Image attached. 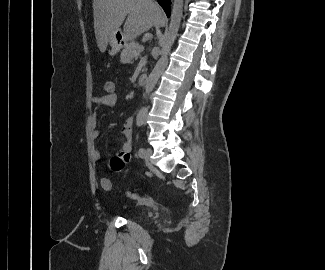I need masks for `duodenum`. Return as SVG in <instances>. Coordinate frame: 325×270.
<instances>
[{
    "instance_id": "duodenum-1",
    "label": "duodenum",
    "mask_w": 325,
    "mask_h": 270,
    "mask_svg": "<svg viewBox=\"0 0 325 270\" xmlns=\"http://www.w3.org/2000/svg\"><path fill=\"white\" fill-rule=\"evenodd\" d=\"M148 77L145 75H141L138 79V86L139 87H145L148 84Z\"/></svg>"
}]
</instances>
